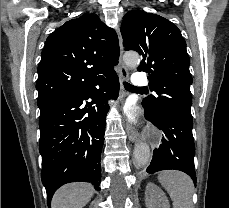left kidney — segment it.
<instances>
[{"label": "left kidney", "mask_w": 229, "mask_h": 208, "mask_svg": "<svg viewBox=\"0 0 229 208\" xmlns=\"http://www.w3.org/2000/svg\"><path fill=\"white\" fill-rule=\"evenodd\" d=\"M147 208H170V204L162 190L149 182L145 190Z\"/></svg>", "instance_id": "obj_1"}]
</instances>
